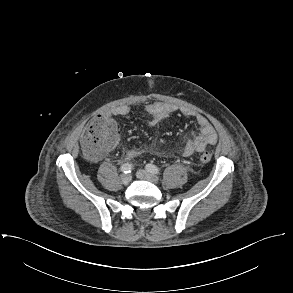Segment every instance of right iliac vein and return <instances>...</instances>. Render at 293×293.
<instances>
[{
  "instance_id": "obj_1",
  "label": "right iliac vein",
  "mask_w": 293,
  "mask_h": 293,
  "mask_svg": "<svg viewBox=\"0 0 293 293\" xmlns=\"http://www.w3.org/2000/svg\"><path fill=\"white\" fill-rule=\"evenodd\" d=\"M132 177L128 174H122L120 177L122 184H128L131 181Z\"/></svg>"
}]
</instances>
